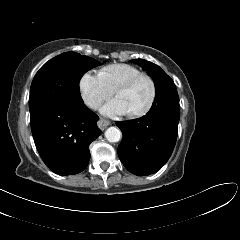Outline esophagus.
I'll use <instances>...</instances> for the list:
<instances>
[{
    "mask_svg": "<svg viewBox=\"0 0 240 240\" xmlns=\"http://www.w3.org/2000/svg\"><path fill=\"white\" fill-rule=\"evenodd\" d=\"M97 125L98 127L101 129V130H104L107 128V126L110 125V122L105 120V119H100L98 122H97Z\"/></svg>",
    "mask_w": 240,
    "mask_h": 240,
    "instance_id": "esophagus-1",
    "label": "esophagus"
}]
</instances>
